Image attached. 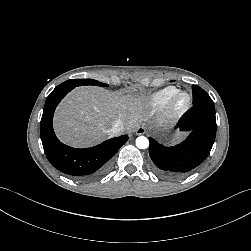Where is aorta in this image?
Masks as SVG:
<instances>
[{"mask_svg":"<svg viewBox=\"0 0 251 251\" xmlns=\"http://www.w3.org/2000/svg\"><path fill=\"white\" fill-rule=\"evenodd\" d=\"M136 146L139 149H146L149 146V141L146 137L144 136H139L136 139Z\"/></svg>","mask_w":251,"mask_h":251,"instance_id":"aorta-1","label":"aorta"}]
</instances>
